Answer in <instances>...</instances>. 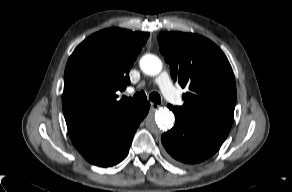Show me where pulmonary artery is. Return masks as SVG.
<instances>
[{
    "instance_id": "pulmonary-artery-1",
    "label": "pulmonary artery",
    "mask_w": 292,
    "mask_h": 192,
    "mask_svg": "<svg viewBox=\"0 0 292 192\" xmlns=\"http://www.w3.org/2000/svg\"><path fill=\"white\" fill-rule=\"evenodd\" d=\"M156 84L161 89L164 97L172 104H180L181 97L173 87L170 77L167 72H162L155 80ZM133 91V89H130Z\"/></svg>"
}]
</instances>
